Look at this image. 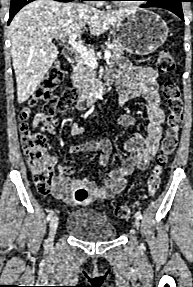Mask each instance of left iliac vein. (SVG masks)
<instances>
[{"instance_id": "4c4485c4", "label": "left iliac vein", "mask_w": 193, "mask_h": 287, "mask_svg": "<svg viewBox=\"0 0 193 287\" xmlns=\"http://www.w3.org/2000/svg\"><path fill=\"white\" fill-rule=\"evenodd\" d=\"M135 226H136L137 229L140 226V221H139V219L136 216H135Z\"/></svg>"}]
</instances>
